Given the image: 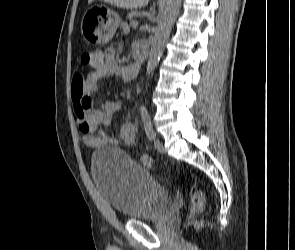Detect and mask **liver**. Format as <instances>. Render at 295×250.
Listing matches in <instances>:
<instances>
[{"label": "liver", "mask_w": 295, "mask_h": 250, "mask_svg": "<svg viewBox=\"0 0 295 250\" xmlns=\"http://www.w3.org/2000/svg\"><path fill=\"white\" fill-rule=\"evenodd\" d=\"M92 1L93 0H89L90 3ZM102 1L123 9L142 8L149 3V0H102Z\"/></svg>", "instance_id": "liver-1"}]
</instances>
